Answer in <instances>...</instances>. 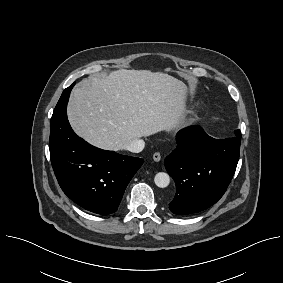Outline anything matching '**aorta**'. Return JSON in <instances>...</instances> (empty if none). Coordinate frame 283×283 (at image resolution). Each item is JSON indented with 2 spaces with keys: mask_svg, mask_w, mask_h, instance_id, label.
Segmentation results:
<instances>
[{
  "mask_svg": "<svg viewBox=\"0 0 283 283\" xmlns=\"http://www.w3.org/2000/svg\"><path fill=\"white\" fill-rule=\"evenodd\" d=\"M154 182L156 186L160 188H165L170 183V176L165 172H159L155 175Z\"/></svg>",
  "mask_w": 283,
  "mask_h": 283,
  "instance_id": "aorta-1",
  "label": "aorta"
}]
</instances>
